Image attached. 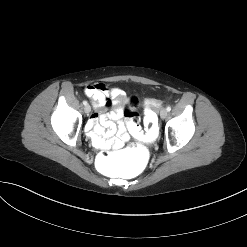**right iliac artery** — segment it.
I'll use <instances>...</instances> for the list:
<instances>
[{
  "label": "right iliac artery",
  "mask_w": 247,
  "mask_h": 247,
  "mask_svg": "<svg viewBox=\"0 0 247 247\" xmlns=\"http://www.w3.org/2000/svg\"><path fill=\"white\" fill-rule=\"evenodd\" d=\"M83 104H84V105H87V101H86V100H84V101H83Z\"/></svg>",
  "instance_id": "obj_1"
}]
</instances>
